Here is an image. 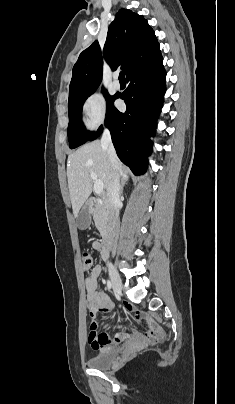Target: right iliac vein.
<instances>
[{"instance_id": "obj_1", "label": "right iliac vein", "mask_w": 235, "mask_h": 404, "mask_svg": "<svg viewBox=\"0 0 235 404\" xmlns=\"http://www.w3.org/2000/svg\"><path fill=\"white\" fill-rule=\"evenodd\" d=\"M109 275L114 291L120 295L122 291L121 278L112 264L109 265Z\"/></svg>"}]
</instances>
